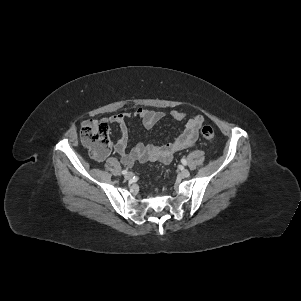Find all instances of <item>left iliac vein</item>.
I'll return each mask as SVG.
<instances>
[{
	"label": "left iliac vein",
	"instance_id": "left-iliac-vein-1",
	"mask_svg": "<svg viewBox=\"0 0 301 301\" xmlns=\"http://www.w3.org/2000/svg\"><path fill=\"white\" fill-rule=\"evenodd\" d=\"M180 175H181L183 178H188V177L190 176V172H189L187 169H181Z\"/></svg>",
	"mask_w": 301,
	"mask_h": 301
}]
</instances>
